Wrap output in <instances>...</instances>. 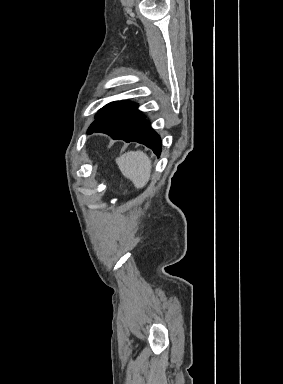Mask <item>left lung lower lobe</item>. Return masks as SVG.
I'll use <instances>...</instances> for the list:
<instances>
[{
    "label": "left lung lower lobe",
    "instance_id": "obj_1",
    "mask_svg": "<svg viewBox=\"0 0 283 384\" xmlns=\"http://www.w3.org/2000/svg\"><path fill=\"white\" fill-rule=\"evenodd\" d=\"M137 104L121 101L111 107L90 125L87 133L103 132L113 139L136 141L151 148L159 157L161 139L137 109Z\"/></svg>",
    "mask_w": 283,
    "mask_h": 384
}]
</instances>
